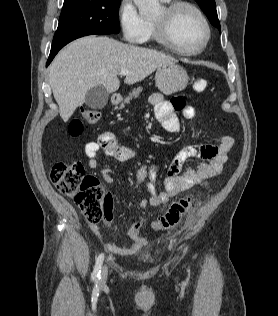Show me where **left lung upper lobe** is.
<instances>
[{
	"instance_id": "1",
	"label": "left lung upper lobe",
	"mask_w": 278,
	"mask_h": 316,
	"mask_svg": "<svg viewBox=\"0 0 278 316\" xmlns=\"http://www.w3.org/2000/svg\"><path fill=\"white\" fill-rule=\"evenodd\" d=\"M203 12L208 17L213 26L220 29V23L217 16L216 5L214 0H195Z\"/></svg>"
}]
</instances>
